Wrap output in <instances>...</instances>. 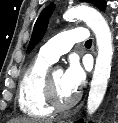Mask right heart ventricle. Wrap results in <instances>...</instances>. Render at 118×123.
<instances>
[{"instance_id": "obj_1", "label": "right heart ventricle", "mask_w": 118, "mask_h": 123, "mask_svg": "<svg viewBox=\"0 0 118 123\" xmlns=\"http://www.w3.org/2000/svg\"><path fill=\"white\" fill-rule=\"evenodd\" d=\"M52 62L38 55L23 73L18 88V105L32 117L50 116L53 110L45 100L44 80Z\"/></svg>"}]
</instances>
